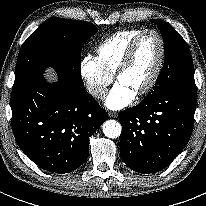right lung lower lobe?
<instances>
[{
	"label": "right lung lower lobe",
	"mask_w": 206,
	"mask_h": 206,
	"mask_svg": "<svg viewBox=\"0 0 206 206\" xmlns=\"http://www.w3.org/2000/svg\"><path fill=\"white\" fill-rule=\"evenodd\" d=\"M12 129L20 149L40 168L69 173L89 153V137L108 119L84 87L40 76L11 97Z\"/></svg>",
	"instance_id": "1"
}]
</instances>
